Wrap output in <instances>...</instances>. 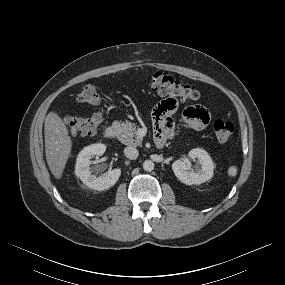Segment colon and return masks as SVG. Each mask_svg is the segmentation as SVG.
<instances>
[{"label":"colon","instance_id":"colon-1","mask_svg":"<svg viewBox=\"0 0 285 285\" xmlns=\"http://www.w3.org/2000/svg\"><path fill=\"white\" fill-rule=\"evenodd\" d=\"M151 86L160 96L171 95L176 97L179 102H194L201 99V94L170 76L162 73H155L151 77ZM79 103L99 105L100 96L96 87L92 83H85L76 94ZM103 115L96 112L88 117H66L65 124L72 135L89 136L93 135L101 125ZM235 131L233 123L225 120H217L213 124V133L218 142L228 141Z\"/></svg>","mask_w":285,"mask_h":285}]
</instances>
